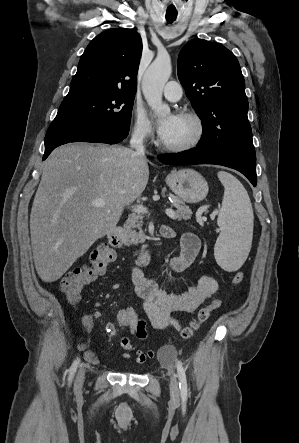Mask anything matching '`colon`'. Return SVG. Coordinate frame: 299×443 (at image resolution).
<instances>
[{"instance_id":"obj_1","label":"colon","mask_w":299,"mask_h":443,"mask_svg":"<svg viewBox=\"0 0 299 443\" xmlns=\"http://www.w3.org/2000/svg\"><path fill=\"white\" fill-rule=\"evenodd\" d=\"M116 257L113 247L106 243L97 246L91 253L90 262L88 264L77 267L68 271L60 282V289L66 295L71 304H76L80 298L83 289L93 282L97 277L103 275L114 262ZM245 279V274L238 271L232 278L233 285L241 284ZM220 305V300L215 299L209 305L203 307L198 312L196 318L182 328L177 339H189L199 325L205 322L211 312ZM116 328L127 330L135 339H139L143 335L144 320L133 307H124L117 312ZM173 354L171 347H165L160 352V357L170 358Z\"/></svg>"}]
</instances>
